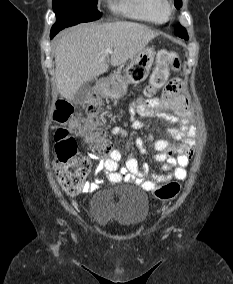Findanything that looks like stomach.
<instances>
[{
  "mask_svg": "<svg viewBox=\"0 0 233 284\" xmlns=\"http://www.w3.org/2000/svg\"><path fill=\"white\" fill-rule=\"evenodd\" d=\"M155 56V50L146 47L140 51L124 70L122 76L119 72L110 75L99 83V91L105 97L119 99L126 95L129 84H139L148 77Z\"/></svg>",
  "mask_w": 233,
  "mask_h": 284,
  "instance_id": "1",
  "label": "stomach"
}]
</instances>
